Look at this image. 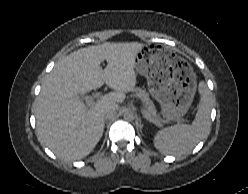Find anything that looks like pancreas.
<instances>
[{
    "label": "pancreas",
    "mask_w": 248,
    "mask_h": 194,
    "mask_svg": "<svg viewBox=\"0 0 248 194\" xmlns=\"http://www.w3.org/2000/svg\"><path fill=\"white\" fill-rule=\"evenodd\" d=\"M135 95L143 102V112L149 117L158 120L159 117L157 115L156 108L151 101L149 94L140 88H136Z\"/></svg>",
    "instance_id": "1"
}]
</instances>
